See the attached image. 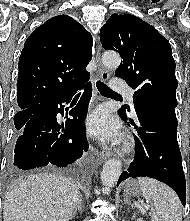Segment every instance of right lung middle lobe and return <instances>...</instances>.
<instances>
[{"label":"right lung middle lobe","instance_id":"1","mask_svg":"<svg viewBox=\"0 0 190 221\" xmlns=\"http://www.w3.org/2000/svg\"><path fill=\"white\" fill-rule=\"evenodd\" d=\"M34 110H35V108L16 113V115L14 117V124H15V128L17 130H21L23 128L25 123L29 120V118L33 114Z\"/></svg>","mask_w":190,"mask_h":221}]
</instances>
